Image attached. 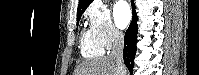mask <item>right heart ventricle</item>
Returning <instances> with one entry per match:
<instances>
[{
  "label": "right heart ventricle",
  "instance_id": "right-heart-ventricle-1",
  "mask_svg": "<svg viewBox=\"0 0 199 75\" xmlns=\"http://www.w3.org/2000/svg\"><path fill=\"white\" fill-rule=\"evenodd\" d=\"M81 50L85 57H99L104 54V48L96 39L93 31L86 29L81 35Z\"/></svg>",
  "mask_w": 199,
  "mask_h": 75
}]
</instances>
